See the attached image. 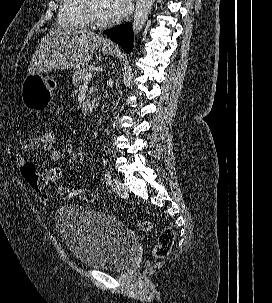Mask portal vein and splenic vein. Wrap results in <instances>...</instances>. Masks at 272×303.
I'll list each match as a JSON object with an SVG mask.
<instances>
[{
  "instance_id": "portal-vein-and-splenic-vein-1",
  "label": "portal vein and splenic vein",
  "mask_w": 272,
  "mask_h": 303,
  "mask_svg": "<svg viewBox=\"0 0 272 303\" xmlns=\"http://www.w3.org/2000/svg\"><path fill=\"white\" fill-rule=\"evenodd\" d=\"M93 77V74L90 72V73H88L85 77H84V86H86L88 83H89V81L91 80V78Z\"/></svg>"
}]
</instances>
